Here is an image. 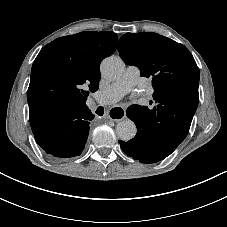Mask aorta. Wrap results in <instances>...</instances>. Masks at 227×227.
<instances>
[{"instance_id":"obj_1","label":"aorta","mask_w":227,"mask_h":227,"mask_svg":"<svg viewBox=\"0 0 227 227\" xmlns=\"http://www.w3.org/2000/svg\"><path fill=\"white\" fill-rule=\"evenodd\" d=\"M124 62L116 56L103 59L100 65L101 75L108 80H116L124 72ZM136 125L129 119L122 120L116 125V133L120 140L129 141L136 135Z\"/></svg>"}]
</instances>
